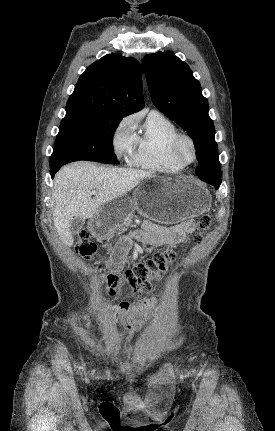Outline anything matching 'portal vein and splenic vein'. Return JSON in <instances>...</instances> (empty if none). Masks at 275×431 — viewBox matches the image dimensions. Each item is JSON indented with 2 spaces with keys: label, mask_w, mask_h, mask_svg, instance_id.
Masks as SVG:
<instances>
[{
  "label": "portal vein and splenic vein",
  "mask_w": 275,
  "mask_h": 431,
  "mask_svg": "<svg viewBox=\"0 0 275 431\" xmlns=\"http://www.w3.org/2000/svg\"><path fill=\"white\" fill-rule=\"evenodd\" d=\"M90 194H91V195H95V194H96V191H95V190H93V191H91V192H90Z\"/></svg>",
  "instance_id": "obj_1"
}]
</instances>
